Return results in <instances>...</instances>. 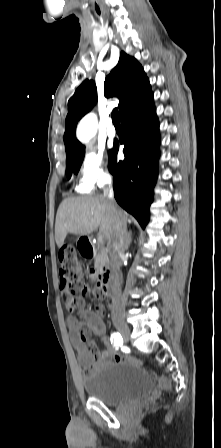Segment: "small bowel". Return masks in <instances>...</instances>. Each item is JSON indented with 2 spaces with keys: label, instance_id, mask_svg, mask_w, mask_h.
Returning <instances> with one entry per match:
<instances>
[{
  "label": "small bowel",
  "instance_id": "1",
  "mask_svg": "<svg viewBox=\"0 0 221 448\" xmlns=\"http://www.w3.org/2000/svg\"><path fill=\"white\" fill-rule=\"evenodd\" d=\"M99 286V282L95 283L93 287L85 288L82 296L73 297L67 295L64 301L65 309L68 312L66 324L69 330V339L78 350V361L84 373L94 372L110 360L123 362V356L117 354L110 347L105 335L106 328L103 322L105 306L99 304L96 310H90L85 307L84 297L90 293H93L98 298L103 297L98 290ZM75 311H77V315L74 314ZM90 333L103 340L105 349L101 351L96 349L94 343L89 341Z\"/></svg>",
  "mask_w": 221,
  "mask_h": 448
}]
</instances>
